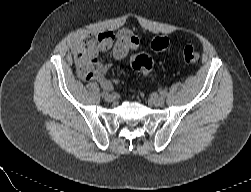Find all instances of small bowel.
<instances>
[{
    "label": "small bowel",
    "instance_id": "obj_1",
    "mask_svg": "<svg viewBox=\"0 0 251 192\" xmlns=\"http://www.w3.org/2000/svg\"><path fill=\"white\" fill-rule=\"evenodd\" d=\"M138 45L139 40L128 30H121L117 34L104 31L89 36L75 47L77 74L84 81H97L108 91L113 85V82L106 77L109 67L97 59V53L112 49L116 59H123Z\"/></svg>",
    "mask_w": 251,
    "mask_h": 192
}]
</instances>
